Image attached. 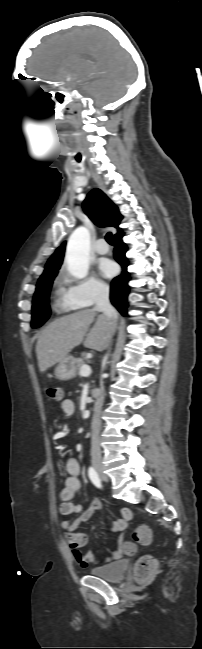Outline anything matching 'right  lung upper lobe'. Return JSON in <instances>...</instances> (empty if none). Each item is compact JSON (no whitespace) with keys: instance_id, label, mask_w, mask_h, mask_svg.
<instances>
[{"instance_id":"1","label":"right lung upper lobe","mask_w":202,"mask_h":649,"mask_svg":"<svg viewBox=\"0 0 202 649\" xmlns=\"http://www.w3.org/2000/svg\"><path fill=\"white\" fill-rule=\"evenodd\" d=\"M83 210L96 225L100 227H114L117 229V234L122 233L118 227L122 216L117 206L100 189L96 188L89 192L83 202ZM64 251L65 242L49 258L41 277L58 272L63 262Z\"/></svg>"}]
</instances>
